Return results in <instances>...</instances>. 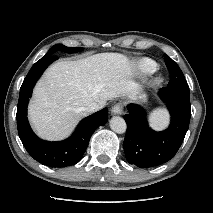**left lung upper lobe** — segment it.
Returning <instances> with one entry per match:
<instances>
[{
    "instance_id": "5c2ea615",
    "label": "left lung upper lobe",
    "mask_w": 213,
    "mask_h": 213,
    "mask_svg": "<svg viewBox=\"0 0 213 213\" xmlns=\"http://www.w3.org/2000/svg\"><path fill=\"white\" fill-rule=\"evenodd\" d=\"M164 59L171 76L168 87L189 92V86L179 66L166 54H164Z\"/></svg>"
}]
</instances>
